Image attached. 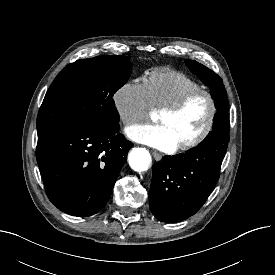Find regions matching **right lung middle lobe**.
Returning <instances> with one entry per match:
<instances>
[{"instance_id": "dd1d6c3e", "label": "right lung middle lobe", "mask_w": 275, "mask_h": 275, "mask_svg": "<svg viewBox=\"0 0 275 275\" xmlns=\"http://www.w3.org/2000/svg\"><path fill=\"white\" fill-rule=\"evenodd\" d=\"M130 58L97 56L67 65L47 91L37 117L38 137L83 125L119 127L113 95L129 79Z\"/></svg>"}]
</instances>
